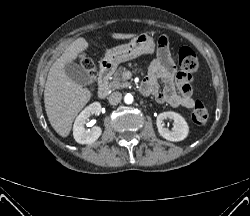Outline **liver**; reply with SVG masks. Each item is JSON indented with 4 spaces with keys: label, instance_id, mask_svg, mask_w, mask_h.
<instances>
[{
    "label": "liver",
    "instance_id": "liver-1",
    "mask_svg": "<svg viewBox=\"0 0 250 216\" xmlns=\"http://www.w3.org/2000/svg\"><path fill=\"white\" fill-rule=\"evenodd\" d=\"M113 39L124 40L136 37L134 34L114 33ZM89 47L85 38L73 41L65 52L51 66L44 90L45 110L53 129L62 137H67L77 114L90 100L92 94L74 82L65 67L73 63Z\"/></svg>",
    "mask_w": 250,
    "mask_h": 216
}]
</instances>
